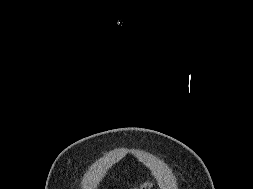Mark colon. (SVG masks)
Here are the masks:
<instances>
[{"label": "colon", "instance_id": "5ec220e1", "mask_svg": "<svg viewBox=\"0 0 253 189\" xmlns=\"http://www.w3.org/2000/svg\"><path fill=\"white\" fill-rule=\"evenodd\" d=\"M151 187H152L151 183L145 182L135 189H150Z\"/></svg>", "mask_w": 253, "mask_h": 189}]
</instances>
